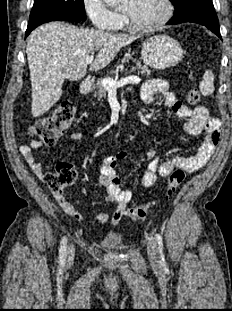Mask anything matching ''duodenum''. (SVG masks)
<instances>
[{"instance_id":"1","label":"duodenum","mask_w":232,"mask_h":311,"mask_svg":"<svg viewBox=\"0 0 232 311\" xmlns=\"http://www.w3.org/2000/svg\"><path fill=\"white\" fill-rule=\"evenodd\" d=\"M91 83L92 82L90 78H84L80 83V92L82 94H86L87 92H89L91 88Z\"/></svg>"}]
</instances>
